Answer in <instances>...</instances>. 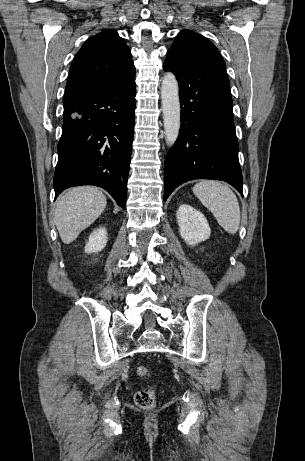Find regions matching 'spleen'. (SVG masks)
I'll return each instance as SVG.
<instances>
[{"label":"spleen","mask_w":305,"mask_h":461,"mask_svg":"<svg viewBox=\"0 0 305 461\" xmlns=\"http://www.w3.org/2000/svg\"><path fill=\"white\" fill-rule=\"evenodd\" d=\"M193 193L226 232H237L240 226V207L236 195L227 185L215 180H204L193 187Z\"/></svg>","instance_id":"1"}]
</instances>
